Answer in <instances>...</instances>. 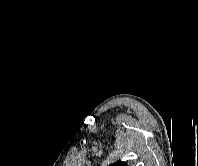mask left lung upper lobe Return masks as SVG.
Returning a JSON list of instances; mask_svg holds the SVG:
<instances>
[{"label":"left lung upper lobe","instance_id":"obj_1","mask_svg":"<svg viewBox=\"0 0 198 166\" xmlns=\"http://www.w3.org/2000/svg\"><path fill=\"white\" fill-rule=\"evenodd\" d=\"M110 166H127V165L123 161H119V162L114 163V164H112Z\"/></svg>","mask_w":198,"mask_h":166}]
</instances>
